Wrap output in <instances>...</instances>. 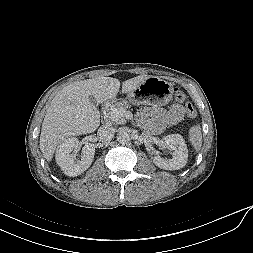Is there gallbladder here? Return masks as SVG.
<instances>
[{"instance_id": "obj_1", "label": "gallbladder", "mask_w": 253, "mask_h": 253, "mask_svg": "<svg viewBox=\"0 0 253 253\" xmlns=\"http://www.w3.org/2000/svg\"><path fill=\"white\" fill-rule=\"evenodd\" d=\"M89 100H90V102L92 103V104H94V105H97V100L95 99V97L94 96H89Z\"/></svg>"}]
</instances>
